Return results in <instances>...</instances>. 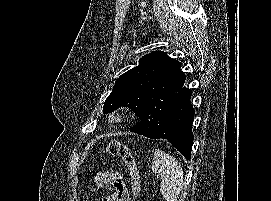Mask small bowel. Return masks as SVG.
Instances as JSON below:
<instances>
[{"label":"small bowel","mask_w":271,"mask_h":201,"mask_svg":"<svg viewBox=\"0 0 271 201\" xmlns=\"http://www.w3.org/2000/svg\"><path fill=\"white\" fill-rule=\"evenodd\" d=\"M96 185L103 189H110L111 193L103 201H130L129 194L119 171L110 169L96 175Z\"/></svg>","instance_id":"c3829d8e"}]
</instances>
